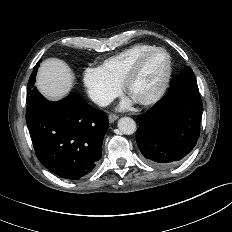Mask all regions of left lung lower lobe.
I'll return each mask as SVG.
<instances>
[{
  "instance_id": "obj_1",
  "label": "left lung lower lobe",
  "mask_w": 232,
  "mask_h": 232,
  "mask_svg": "<svg viewBox=\"0 0 232 232\" xmlns=\"http://www.w3.org/2000/svg\"><path fill=\"white\" fill-rule=\"evenodd\" d=\"M199 91L181 89L174 81L165 96L139 115L137 145L152 165H178L194 148L200 134Z\"/></svg>"
}]
</instances>
